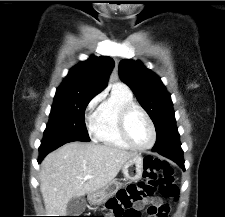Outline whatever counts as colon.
<instances>
[{"instance_id":"5ec220e1","label":"colon","mask_w":225,"mask_h":217,"mask_svg":"<svg viewBox=\"0 0 225 217\" xmlns=\"http://www.w3.org/2000/svg\"><path fill=\"white\" fill-rule=\"evenodd\" d=\"M143 168L144 180L139 185H129L119 191L117 197L110 201L108 208L114 217H139V211L134 207V203L152 196L157 188L165 198L173 200L178 198L179 188L171 166L158 158L146 156L143 160ZM168 211L167 204L148 208L151 217H166Z\"/></svg>"}]
</instances>
